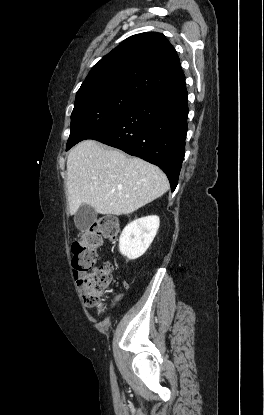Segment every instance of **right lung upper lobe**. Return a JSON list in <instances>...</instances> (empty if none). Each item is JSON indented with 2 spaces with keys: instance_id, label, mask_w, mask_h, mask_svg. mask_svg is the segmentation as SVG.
Returning <instances> with one entry per match:
<instances>
[{
  "instance_id": "cb5924a9",
  "label": "right lung upper lobe",
  "mask_w": 264,
  "mask_h": 415,
  "mask_svg": "<svg viewBox=\"0 0 264 415\" xmlns=\"http://www.w3.org/2000/svg\"><path fill=\"white\" fill-rule=\"evenodd\" d=\"M185 81L179 57L166 37L157 32L133 35L98 61L76 98L111 91L142 98Z\"/></svg>"
}]
</instances>
